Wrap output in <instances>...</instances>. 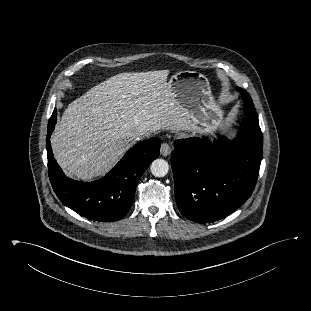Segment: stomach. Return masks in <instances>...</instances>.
<instances>
[{
    "label": "stomach",
    "mask_w": 311,
    "mask_h": 311,
    "mask_svg": "<svg viewBox=\"0 0 311 311\" xmlns=\"http://www.w3.org/2000/svg\"><path fill=\"white\" fill-rule=\"evenodd\" d=\"M168 84L175 100L188 111L193 128L207 133L221 125L223 111L213 100L206 76L197 71H179Z\"/></svg>",
    "instance_id": "0dacf381"
}]
</instances>
